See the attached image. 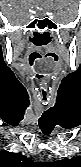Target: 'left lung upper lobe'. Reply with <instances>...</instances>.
<instances>
[{
  "label": "left lung upper lobe",
  "mask_w": 81,
  "mask_h": 167,
  "mask_svg": "<svg viewBox=\"0 0 81 167\" xmlns=\"http://www.w3.org/2000/svg\"><path fill=\"white\" fill-rule=\"evenodd\" d=\"M79 157H73L72 159H62L58 161H54L52 163H49L50 167H74L76 166L77 162L79 161Z\"/></svg>",
  "instance_id": "5c2ea615"
}]
</instances>
